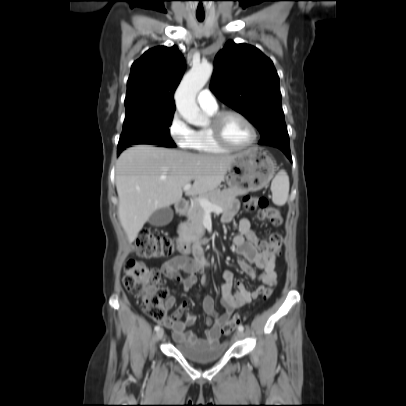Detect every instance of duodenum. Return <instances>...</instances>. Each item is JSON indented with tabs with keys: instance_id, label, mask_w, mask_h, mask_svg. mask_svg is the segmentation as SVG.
Instances as JSON below:
<instances>
[{
	"instance_id": "410a0bca",
	"label": "duodenum",
	"mask_w": 406,
	"mask_h": 406,
	"mask_svg": "<svg viewBox=\"0 0 406 406\" xmlns=\"http://www.w3.org/2000/svg\"><path fill=\"white\" fill-rule=\"evenodd\" d=\"M174 206H175V210L178 213H183L186 211L189 204L186 200H179L175 203ZM208 242H209L208 238L195 237L191 240H188V239L179 240L178 246H179L180 250L183 251V253H186L188 251V249L190 248V246H193V248L200 247V245L208 243Z\"/></svg>"
}]
</instances>
